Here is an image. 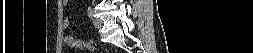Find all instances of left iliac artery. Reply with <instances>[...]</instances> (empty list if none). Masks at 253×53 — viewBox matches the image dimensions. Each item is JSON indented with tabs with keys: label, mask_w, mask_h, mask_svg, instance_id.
Masks as SVG:
<instances>
[{
	"label": "left iliac artery",
	"mask_w": 253,
	"mask_h": 53,
	"mask_svg": "<svg viewBox=\"0 0 253 53\" xmlns=\"http://www.w3.org/2000/svg\"><path fill=\"white\" fill-rule=\"evenodd\" d=\"M87 14H88L89 18H93L94 14H93V10H92L91 6H88Z\"/></svg>",
	"instance_id": "obj_1"
}]
</instances>
